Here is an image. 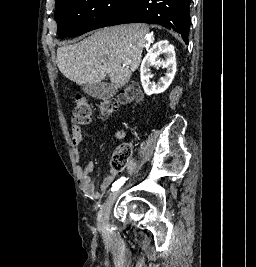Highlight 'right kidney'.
<instances>
[{"instance_id":"right-kidney-1","label":"right kidney","mask_w":256,"mask_h":267,"mask_svg":"<svg viewBox=\"0 0 256 267\" xmlns=\"http://www.w3.org/2000/svg\"><path fill=\"white\" fill-rule=\"evenodd\" d=\"M160 54H164L165 60H157ZM151 66H163L166 68V74L163 78H160L158 84L150 82ZM176 74V58L174 46L169 44L168 40H161L156 42L152 48H150L148 54H146L141 66H140V80L143 86V90L147 96L152 94H162L170 84Z\"/></svg>"}]
</instances>
